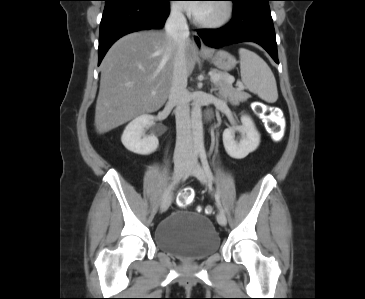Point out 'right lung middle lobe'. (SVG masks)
Returning <instances> with one entry per match:
<instances>
[{"label": "right lung middle lobe", "instance_id": "1", "mask_svg": "<svg viewBox=\"0 0 365 299\" xmlns=\"http://www.w3.org/2000/svg\"><path fill=\"white\" fill-rule=\"evenodd\" d=\"M112 1H116V0H105L106 3L112 2Z\"/></svg>", "mask_w": 365, "mask_h": 299}]
</instances>
